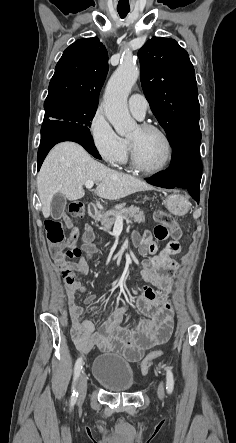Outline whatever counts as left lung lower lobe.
<instances>
[{"label": "left lung lower lobe", "mask_w": 236, "mask_h": 443, "mask_svg": "<svg viewBox=\"0 0 236 443\" xmlns=\"http://www.w3.org/2000/svg\"><path fill=\"white\" fill-rule=\"evenodd\" d=\"M201 132L181 136L173 147L170 167L146 179L148 183L163 188L187 189L199 203L202 163L200 159Z\"/></svg>", "instance_id": "left-lung-lower-lobe-1"}]
</instances>
